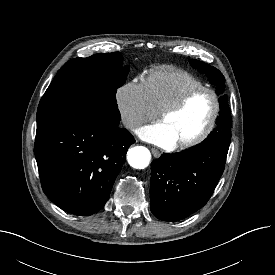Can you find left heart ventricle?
<instances>
[{"label":"left heart ventricle","instance_id":"1","mask_svg":"<svg viewBox=\"0 0 275 275\" xmlns=\"http://www.w3.org/2000/svg\"><path fill=\"white\" fill-rule=\"evenodd\" d=\"M212 111L211 95L201 92L193 96L181 110L166 116L161 122L179 143L198 135L206 126Z\"/></svg>","mask_w":275,"mask_h":275}]
</instances>
